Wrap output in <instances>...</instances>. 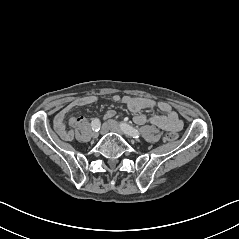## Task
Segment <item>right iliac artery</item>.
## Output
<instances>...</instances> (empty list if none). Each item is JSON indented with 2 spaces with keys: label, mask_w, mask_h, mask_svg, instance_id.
Wrapping results in <instances>:
<instances>
[{
  "label": "right iliac artery",
  "mask_w": 239,
  "mask_h": 239,
  "mask_svg": "<svg viewBox=\"0 0 239 239\" xmlns=\"http://www.w3.org/2000/svg\"><path fill=\"white\" fill-rule=\"evenodd\" d=\"M91 127H92L93 131L98 132L101 128V123H100L99 119H97V118L93 119L92 123H91Z\"/></svg>",
  "instance_id": "82829eb1"
}]
</instances>
